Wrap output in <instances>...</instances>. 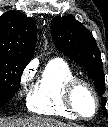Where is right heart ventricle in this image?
<instances>
[{"label": "right heart ventricle", "mask_w": 108, "mask_h": 127, "mask_svg": "<svg viewBox=\"0 0 108 127\" xmlns=\"http://www.w3.org/2000/svg\"><path fill=\"white\" fill-rule=\"evenodd\" d=\"M73 78L75 75L65 61H49L28 96L29 109L41 115L75 118L64 102L65 86Z\"/></svg>", "instance_id": "1"}]
</instances>
